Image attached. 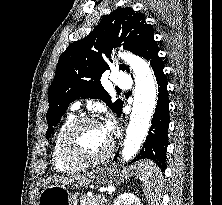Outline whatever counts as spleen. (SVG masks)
Wrapping results in <instances>:
<instances>
[{"instance_id":"3e777b00","label":"spleen","mask_w":222,"mask_h":205,"mask_svg":"<svg viewBox=\"0 0 222 205\" xmlns=\"http://www.w3.org/2000/svg\"><path fill=\"white\" fill-rule=\"evenodd\" d=\"M137 171L143 181V192L151 205L157 202L163 187V176L158 166L151 160H141L137 163ZM158 205V204H157Z\"/></svg>"}]
</instances>
